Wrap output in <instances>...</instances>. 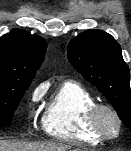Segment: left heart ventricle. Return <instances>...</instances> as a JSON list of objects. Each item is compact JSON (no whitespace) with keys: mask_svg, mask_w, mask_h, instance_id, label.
I'll list each match as a JSON object with an SVG mask.
<instances>
[{"mask_svg":"<svg viewBox=\"0 0 131 151\" xmlns=\"http://www.w3.org/2000/svg\"><path fill=\"white\" fill-rule=\"evenodd\" d=\"M102 125L110 133H114L116 131V123L114 119L109 115H103Z\"/></svg>","mask_w":131,"mask_h":151,"instance_id":"b2bd125f","label":"left heart ventricle"}]
</instances>
